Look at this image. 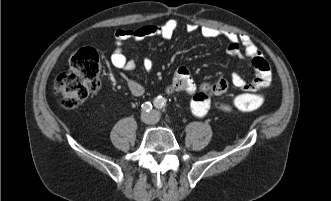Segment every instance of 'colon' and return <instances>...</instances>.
Here are the masks:
<instances>
[{"mask_svg": "<svg viewBox=\"0 0 331 201\" xmlns=\"http://www.w3.org/2000/svg\"><path fill=\"white\" fill-rule=\"evenodd\" d=\"M100 87L98 53L85 47L71 57L68 70L57 76L53 91L60 96L63 107L72 109L96 94ZM264 102L262 93H245L235 96L230 104L238 112H250L262 107Z\"/></svg>", "mask_w": 331, "mask_h": 201, "instance_id": "colon-1", "label": "colon"}]
</instances>
